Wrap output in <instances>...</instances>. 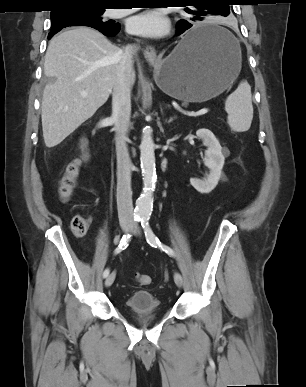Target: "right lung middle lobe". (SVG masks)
<instances>
[{
    "mask_svg": "<svg viewBox=\"0 0 306 387\" xmlns=\"http://www.w3.org/2000/svg\"><path fill=\"white\" fill-rule=\"evenodd\" d=\"M105 9L96 6H73L62 8L61 11L51 12L52 28L51 32H58L68 26L84 25L93 28L113 27V24L103 21L101 15ZM53 35L49 33V36Z\"/></svg>",
    "mask_w": 306,
    "mask_h": 387,
    "instance_id": "1",
    "label": "right lung middle lobe"
}]
</instances>
